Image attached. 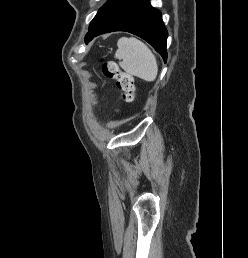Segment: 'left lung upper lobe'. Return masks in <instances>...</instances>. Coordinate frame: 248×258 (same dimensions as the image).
Instances as JSON below:
<instances>
[{"label":"left lung upper lobe","mask_w":248,"mask_h":258,"mask_svg":"<svg viewBox=\"0 0 248 258\" xmlns=\"http://www.w3.org/2000/svg\"><path fill=\"white\" fill-rule=\"evenodd\" d=\"M129 0H109L99 10L89 25V30L101 23L117 9L122 7Z\"/></svg>","instance_id":"left-lung-upper-lobe-1"}]
</instances>
